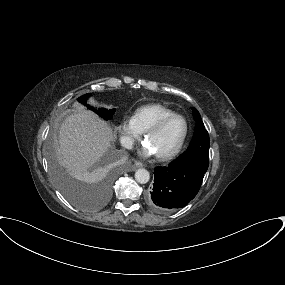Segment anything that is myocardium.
<instances>
[{"instance_id": "obj_1", "label": "myocardium", "mask_w": 285, "mask_h": 285, "mask_svg": "<svg viewBox=\"0 0 285 285\" xmlns=\"http://www.w3.org/2000/svg\"><path fill=\"white\" fill-rule=\"evenodd\" d=\"M176 118H180L182 119L183 123H184V133L178 143V145L170 152L166 153V154H156V157L161 160V161H168V160H171L172 158H174L179 152L180 150L182 149L183 145H184V142L187 138V135H188V123H187V120L184 116L180 115V114H172V115H169V116H166L162 119H160L158 122H156L152 127H150L147 131H145V134H144V140L147 141V139L159 132L168 122H170L171 120L173 119H176Z\"/></svg>"}]
</instances>
